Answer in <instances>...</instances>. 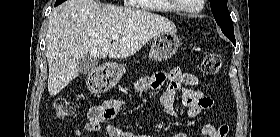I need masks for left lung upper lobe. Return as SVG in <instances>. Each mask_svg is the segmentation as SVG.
I'll return each instance as SVG.
<instances>
[{
  "label": "left lung upper lobe",
  "mask_w": 280,
  "mask_h": 137,
  "mask_svg": "<svg viewBox=\"0 0 280 137\" xmlns=\"http://www.w3.org/2000/svg\"><path fill=\"white\" fill-rule=\"evenodd\" d=\"M215 21L222 32L235 44L234 28L230 13L227 8V0H209Z\"/></svg>",
  "instance_id": "obj_1"
}]
</instances>
